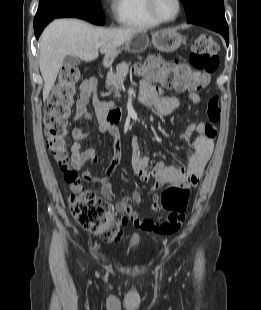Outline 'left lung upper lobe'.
<instances>
[{
    "instance_id": "obj_1",
    "label": "left lung upper lobe",
    "mask_w": 261,
    "mask_h": 310,
    "mask_svg": "<svg viewBox=\"0 0 261 310\" xmlns=\"http://www.w3.org/2000/svg\"><path fill=\"white\" fill-rule=\"evenodd\" d=\"M181 2L185 8L188 23L212 21L227 25L223 0H181Z\"/></svg>"
}]
</instances>
